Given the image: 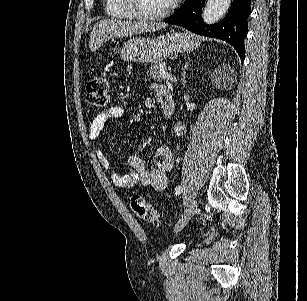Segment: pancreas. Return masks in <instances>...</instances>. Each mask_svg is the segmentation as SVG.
<instances>
[{"instance_id": "obj_1", "label": "pancreas", "mask_w": 307, "mask_h": 301, "mask_svg": "<svg viewBox=\"0 0 307 301\" xmlns=\"http://www.w3.org/2000/svg\"><path fill=\"white\" fill-rule=\"evenodd\" d=\"M164 72L165 74H169L165 62H155L154 66H150L148 70V74H150L152 78H157V80L164 78Z\"/></svg>"}]
</instances>
